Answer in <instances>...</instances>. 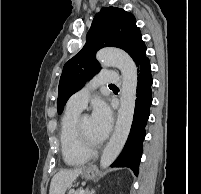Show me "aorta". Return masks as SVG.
Returning a JSON list of instances; mask_svg holds the SVG:
<instances>
[{"instance_id":"1","label":"aorta","mask_w":201,"mask_h":194,"mask_svg":"<svg viewBox=\"0 0 201 194\" xmlns=\"http://www.w3.org/2000/svg\"><path fill=\"white\" fill-rule=\"evenodd\" d=\"M96 59L105 65L117 67L122 76L120 108L115 129L100 159V166L106 168L114 162L127 141L133 122L138 76L133 59L122 50L101 49L97 52Z\"/></svg>"}]
</instances>
